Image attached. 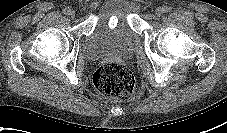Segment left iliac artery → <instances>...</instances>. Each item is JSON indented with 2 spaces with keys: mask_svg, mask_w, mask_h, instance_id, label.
<instances>
[{
  "mask_svg": "<svg viewBox=\"0 0 227 133\" xmlns=\"http://www.w3.org/2000/svg\"><path fill=\"white\" fill-rule=\"evenodd\" d=\"M164 12L167 13V12H170L171 11V8L167 7V6H164Z\"/></svg>",
  "mask_w": 227,
  "mask_h": 133,
  "instance_id": "44dca946",
  "label": "left iliac artery"
}]
</instances>
